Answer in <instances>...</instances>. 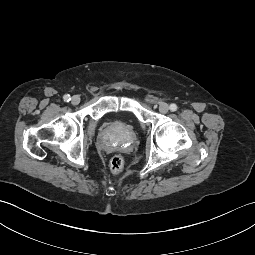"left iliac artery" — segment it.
I'll return each instance as SVG.
<instances>
[{
	"label": "left iliac artery",
	"instance_id": "1",
	"mask_svg": "<svg viewBox=\"0 0 255 255\" xmlns=\"http://www.w3.org/2000/svg\"><path fill=\"white\" fill-rule=\"evenodd\" d=\"M169 108H170L171 111H176L178 107H177L176 104L172 103V104H170Z\"/></svg>",
	"mask_w": 255,
	"mask_h": 255
}]
</instances>
